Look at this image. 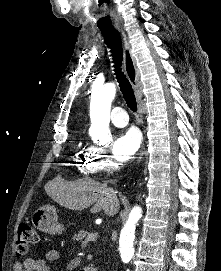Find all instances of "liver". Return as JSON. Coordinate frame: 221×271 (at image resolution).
Here are the masks:
<instances>
[{
  "instance_id": "6515ba94",
  "label": "liver",
  "mask_w": 221,
  "mask_h": 271,
  "mask_svg": "<svg viewBox=\"0 0 221 271\" xmlns=\"http://www.w3.org/2000/svg\"><path fill=\"white\" fill-rule=\"evenodd\" d=\"M45 191L59 205H63L67 209H75V211H82L85 207L95 203L93 209H104L106 215L113 217L115 213H118L120 207L118 197H103V195H107L106 183L94 181L90 177L76 179L72 183L57 177L46 183Z\"/></svg>"
}]
</instances>
